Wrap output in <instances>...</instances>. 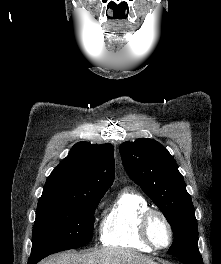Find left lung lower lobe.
Returning <instances> with one entry per match:
<instances>
[{"label":"left lung lower lobe","instance_id":"left-lung-lower-lobe-1","mask_svg":"<svg viewBox=\"0 0 221 264\" xmlns=\"http://www.w3.org/2000/svg\"><path fill=\"white\" fill-rule=\"evenodd\" d=\"M177 257L185 264H203V260L199 255H182Z\"/></svg>","mask_w":221,"mask_h":264}]
</instances>
